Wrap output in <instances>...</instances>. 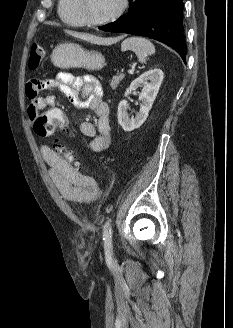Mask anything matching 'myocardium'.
I'll return each instance as SVG.
<instances>
[{"label": "myocardium", "mask_w": 233, "mask_h": 328, "mask_svg": "<svg viewBox=\"0 0 233 328\" xmlns=\"http://www.w3.org/2000/svg\"><path fill=\"white\" fill-rule=\"evenodd\" d=\"M128 6V0H121L120 5L117 8V10L111 14L110 16L100 19V20H94L88 17L85 13L84 9V1L83 0H76V10L82 21L84 22L85 25L88 26H102L106 25L108 23H111L115 20H117L119 17L122 16V14L125 12Z\"/></svg>", "instance_id": "obj_1"}]
</instances>
